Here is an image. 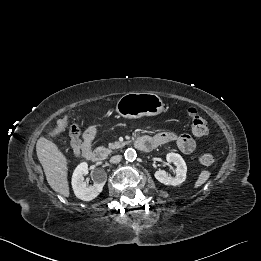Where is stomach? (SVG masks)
I'll use <instances>...</instances> for the list:
<instances>
[{"label": "stomach", "mask_w": 261, "mask_h": 261, "mask_svg": "<svg viewBox=\"0 0 261 261\" xmlns=\"http://www.w3.org/2000/svg\"><path fill=\"white\" fill-rule=\"evenodd\" d=\"M116 111L120 116L129 119L155 116L164 111V103L153 93L130 92L118 100Z\"/></svg>", "instance_id": "0dacf381"}]
</instances>
